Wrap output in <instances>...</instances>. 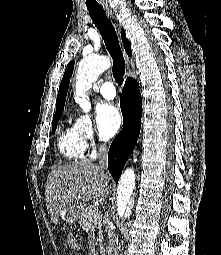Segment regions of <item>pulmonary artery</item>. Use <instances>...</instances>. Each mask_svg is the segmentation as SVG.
<instances>
[{"instance_id": "obj_1", "label": "pulmonary artery", "mask_w": 221, "mask_h": 255, "mask_svg": "<svg viewBox=\"0 0 221 255\" xmlns=\"http://www.w3.org/2000/svg\"><path fill=\"white\" fill-rule=\"evenodd\" d=\"M101 95L108 100H112L116 97V90L112 82L106 81L100 86Z\"/></svg>"}]
</instances>
